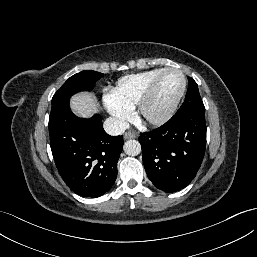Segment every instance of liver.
<instances>
[{
  "label": "liver",
  "instance_id": "obj_1",
  "mask_svg": "<svg viewBox=\"0 0 257 257\" xmlns=\"http://www.w3.org/2000/svg\"><path fill=\"white\" fill-rule=\"evenodd\" d=\"M98 106L97 101L94 96L81 93L72 97L70 102V107L73 112L81 117L91 116L92 113L98 111L96 108Z\"/></svg>",
  "mask_w": 257,
  "mask_h": 257
}]
</instances>
